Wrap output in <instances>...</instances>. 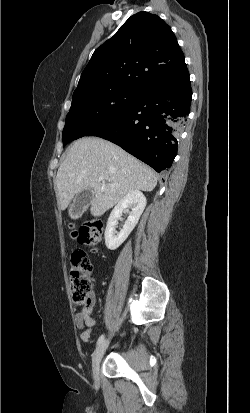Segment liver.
Wrapping results in <instances>:
<instances>
[{
    "label": "liver",
    "instance_id": "obj_1",
    "mask_svg": "<svg viewBox=\"0 0 250 413\" xmlns=\"http://www.w3.org/2000/svg\"><path fill=\"white\" fill-rule=\"evenodd\" d=\"M55 184L61 210L68 207L76 194L92 189L90 211L99 217L133 190L152 191L157 176L119 146L102 138L83 137L68 149Z\"/></svg>",
    "mask_w": 250,
    "mask_h": 413
}]
</instances>
